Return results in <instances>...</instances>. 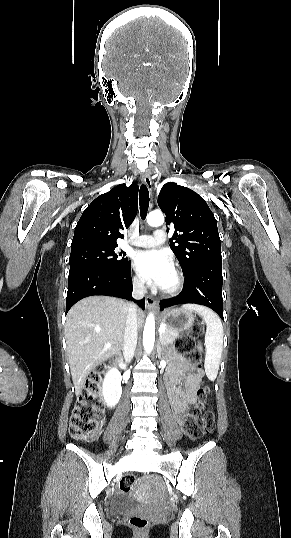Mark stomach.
I'll return each mask as SVG.
<instances>
[{
	"label": "stomach",
	"mask_w": 291,
	"mask_h": 538,
	"mask_svg": "<svg viewBox=\"0 0 291 538\" xmlns=\"http://www.w3.org/2000/svg\"><path fill=\"white\" fill-rule=\"evenodd\" d=\"M161 321L167 329L180 332L192 326L194 315L189 310L177 308L163 313Z\"/></svg>",
	"instance_id": "obj_1"
}]
</instances>
